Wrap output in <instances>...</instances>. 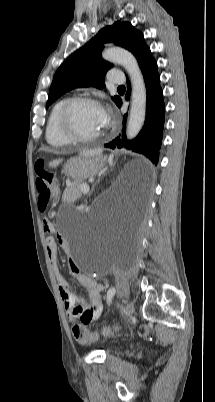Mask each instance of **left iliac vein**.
Instances as JSON below:
<instances>
[{"label":"left iliac vein","instance_id":"1","mask_svg":"<svg viewBox=\"0 0 215 402\" xmlns=\"http://www.w3.org/2000/svg\"><path fill=\"white\" fill-rule=\"evenodd\" d=\"M134 310H135L134 304L132 302H129L124 309V314L131 315L134 312Z\"/></svg>","mask_w":215,"mask_h":402}]
</instances>
